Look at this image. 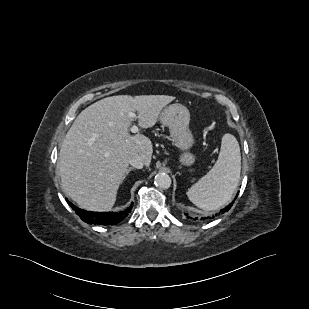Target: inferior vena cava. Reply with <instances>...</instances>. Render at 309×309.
Instances as JSON below:
<instances>
[{
	"instance_id": "obj_1",
	"label": "inferior vena cava",
	"mask_w": 309,
	"mask_h": 309,
	"mask_svg": "<svg viewBox=\"0 0 309 309\" xmlns=\"http://www.w3.org/2000/svg\"><path fill=\"white\" fill-rule=\"evenodd\" d=\"M129 164L137 169H141L144 166V160L140 155H134L129 159Z\"/></svg>"
}]
</instances>
